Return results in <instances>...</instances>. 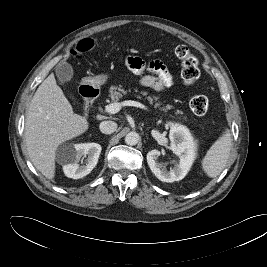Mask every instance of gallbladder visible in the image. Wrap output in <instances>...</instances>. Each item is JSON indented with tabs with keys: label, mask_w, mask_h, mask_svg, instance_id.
Listing matches in <instances>:
<instances>
[{
	"label": "gallbladder",
	"mask_w": 267,
	"mask_h": 267,
	"mask_svg": "<svg viewBox=\"0 0 267 267\" xmlns=\"http://www.w3.org/2000/svg\"><path fill=\"white\" fill-rule=\"evenodd\" d=\"M56 76L59 84L64 85L69 82L73 77V68L67 62H61L56 66ZM71 99L76 102L74 96L70 95Z\"/></svg>",
	"instance_id": "1"
}]
</instances>
